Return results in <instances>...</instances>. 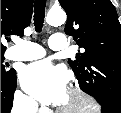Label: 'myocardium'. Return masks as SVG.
Listing matches in <instances>:
<instances>
[{
  "label": "myocardium",
  "mask_w": 121,
  "mask_h": 113,
  "mask_svg": "<svg viewBox=\"0 0 121 113\" xmlns=\"http://www.w3.org/2000/svg\"><path fill=\"white\" fill-rule=\"evenodd\" d=\"M68 92L78 97L82 101L83 105L81 108H71V109L59 108L60 111L65 113H79L77 112L78 110H90V111L100 110V104L98 100L93 95L89 94L86 90H84L82 87L72 86L69 88Z\"/></svg>",
  "instance_id": "obj_1"
}]
</instances>
